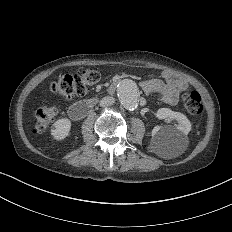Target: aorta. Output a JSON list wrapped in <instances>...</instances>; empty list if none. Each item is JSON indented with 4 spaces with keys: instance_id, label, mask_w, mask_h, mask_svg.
I'll return each mask as SVG.
<instances>
[{
    "instance_id": "obj_1",
    "label": "aorta",
    "mask_w": 232,
    "mask_h": 232,
    "mask_svg": "<svg viewBox=\"0 0 232 232\" xmlns=\"http://www.w3.org/2000/svg\"><path fill=\"white\" fill-rule=\"evenodd\" d=\"M118 97L127 110H134L138 106V88L135 82L125 79L118 85Z\"/></svg>"
}]
</instances>
